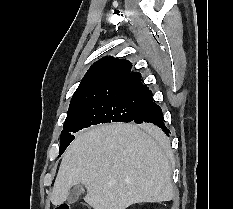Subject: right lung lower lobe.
Here are the masks:
<instances>
[{
  "mask_svg": "<svg viewBox=\"0 0 233 209\" xmlns=\"http://www.w3.org/2000/svg\"><path fill=\"white\" fill-rule=\"evenodd\" d=\"M132 122L143 124L148 126L150 129L157 126L163 129L165 134L169 136L170 131L166 128L163 122L162 110L154 101H151L149 104L143 107Z\"/></svg>",
  "mask_w": 233,
  "mask_h": 209,
  "instance_id": "right-lung-lower-lobe-1",
  "label": "right lung lower lobe"
}]
</instances>
